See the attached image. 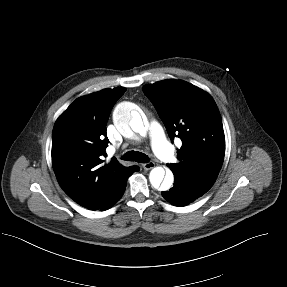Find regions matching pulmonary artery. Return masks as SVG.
I'll list each match as a JSON object with an SVG mask.
<instances>
[{"label":"pulmonary artery","instance_id":"1","mask_svg":"<svg viewBox=\"0 0 287 287\" xmlns=\"http://www.w3.org/2000/svg\"><path fill=\"white\" fill-rule=\"evenodd\" d=\"M150 136L152 147L156 155L165 162H172L175 159L173 149L167 142L164 133L158 123H151Z\"/></svg>","mask_w":287,"mask_h":287}]
</instances>
